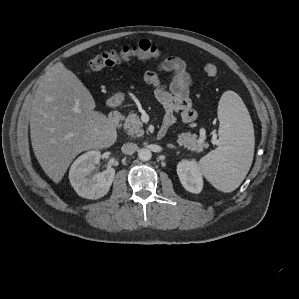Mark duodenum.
Wrapping results in <instances>:
<instances>
[{"label":"duodenum","mask_w":299,"mask_h":299,"mask_svg":"<svg viewBox=\"0 0 299 299\" xmlns=\"http://www.w3.org/2000/svg\"><path fill=\"white\" fill-rule=\"evenodd\" d=\"M108 121H109V124L112 126V127H118L120 121H121V113L119 110L117 109H114L112 110L110 113H109V116H108ZM165 133V130L164 129H161L160 132H159V136L162 137Z\"/></svg>","instance_id":"obj_1"}]
</instances>
